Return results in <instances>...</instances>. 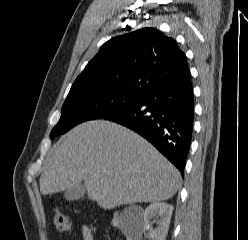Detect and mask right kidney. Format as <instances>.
<instances>
[{
    "label": "right kidney",
    "mask_w": 248,
    "mask_h": 240,
    "mask_svg": "<svg viewBox=\"0 0 248 240\" xmlns=\"http://www.w3.org/2000/svg\"><path fill=\"white\" fill-rule=\"evenodd\" d=\"M173 206L164 202H154L142 213V220L125 232L127 240H141L142 234L150 228V221L157 220L158 227L151 231V240H165L173 212Z\"/></svg>",
    "instance_id": "obj_1"
}]
</instances>
